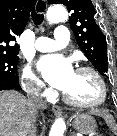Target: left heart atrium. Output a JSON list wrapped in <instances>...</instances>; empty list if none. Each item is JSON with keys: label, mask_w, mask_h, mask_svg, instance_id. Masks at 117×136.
Instances as JSON below:
<instances>
[{"label": "left heart atrium", "mask_w": 117, "mask_h": 136, "mask_svg": "<svg viewBox=\"0 0 117 136\" xmlns=\"http://www.w3.org/2000/svg\"><path fill=\"white\" fill-rule=\"evenodd\" d=\"M38 66L47 82L63 91L68 88L75 73L71 61L57 54L42 57Z\"/></svg>", "instance_id": "39dd6f15"}]
</instances>
